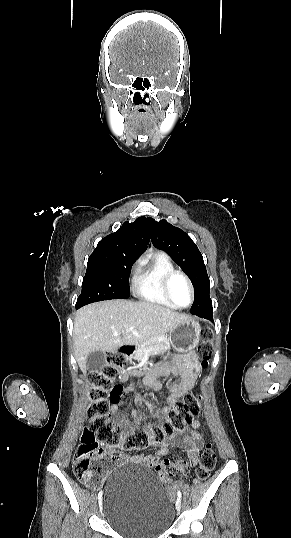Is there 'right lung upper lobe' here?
Listing matches in <instances>:
<instances>
[{
  "instance_id": "1",
  "label": "right lung upper lobe",
  "mask_w": 291,
  "mask_h": 538,
  "mask_svg": "<svg viewBox=\"0 0 291 538\" xmlns=\"http://www.w3.org/2000/svg\"><path fill=\"white\" fill-rule=\"evenodd\" d=\"M149 244L147 219L142 216L133 223L124 222L122 227L97 245L92 255H124L138 258Z\"/></svg>"
}]
</instances>
